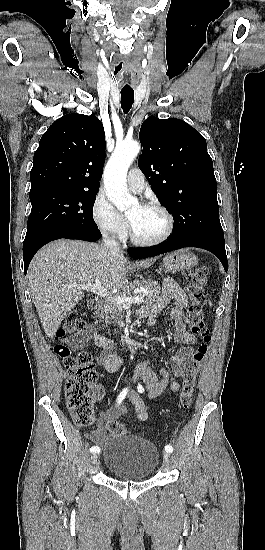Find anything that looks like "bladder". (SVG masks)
Instances as JSON below:
<instances>
[{"mask_svg":"<svg viewBox=\"0 0 265 550\" xmlns=\"http://www.w3.org/2000/svg\"><path fill=\"white\" fill-rule=\"evenodd\" d=\"M159 453L147 439L137 435L113 436L104 450L108 472L122 480H145L157 466Z\"/></svg>","mask_w":265,"mask_h":550,"instance_id":"31cf9c89","label":"bladder"}]
</instances>
